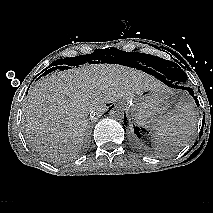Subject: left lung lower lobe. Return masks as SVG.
Wrapping results in <instances>:
<instances>
[{"instance_id":"left-lung-lower-lobe-1","label":"left lung lower lobe","mask_w":213,"mask_h":213,"mask_svg":"<svg viewBox=\"0 0 213 213\" xmlns=\"http://www.w3.org/2000/svg\"><path fill=\"white\" fill-rule=\"evenodd\" d=\"M151 71H153V70H151ZM161 72V71H160ZM158 79H160L162 82H164L165 84H167L168 86H170V87H174V88H180V89H184V90H187L191 95H192V97L195 99V102H196V104L198 105V100H197V98H195L194 97V95H193V90L191 89V88H187V87H185V86H180L179 84H177L176 82H174L173 80H171L170 79V77L168 76V75H166V74H164V73H157V72H155V71H153L152 72ZM127 118H126V116L124 117V124H123V126L124 125H126L127 124Z\"/></svg>"}]
</instances>
